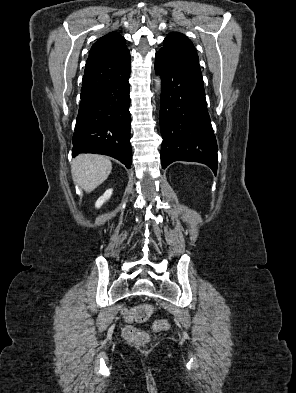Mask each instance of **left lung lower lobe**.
Instances as JSON below:
<instances>
[{
	"instance_id": "1",
	"label": "left lung lower lobe",
	"mask_w": 296,
	"mask_h": 393,
	"mask_svg": "<svg viewBox=\"0 0 296 393\" xmlns=\"http://www.w3.org/2000/svg\"><path fill=\"white\" fill-rule=\"evenodd\" d=\"M155 70L162 77V168L174 161H193L216 173L217 143L199 63L175 61L156 53Z\"/></svg>"
}]
</instances>
